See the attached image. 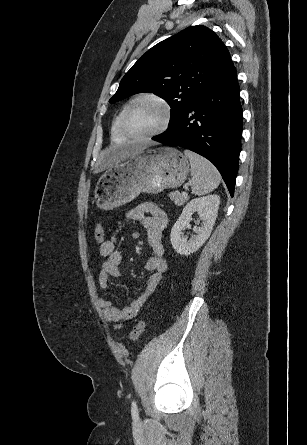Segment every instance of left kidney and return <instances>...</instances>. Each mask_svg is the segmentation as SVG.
I'll use <instances>...</instances> for the list:
<instances>
[{
  "instance_id": "obj_1",
  "label": "left kidney",
  "mask_w": 307,
  "mask_h": 445,
  "mask_svg": "<svg viewBox=\"0 0 307 445\" xmlns=\"http://www.w3.org/2000/svg\"><path fill=\"white\" fill-rule=\"evenodd\" d=\"M220 196L218 194H208V196H200V198H192L190 202H187L180 214L175 225L172 227L170 241L173 249L179 255H192L196 253L205 241L209 239L212 231V227L215 223L218 208H219ZM198 210L200 220H203L202 227H196V237L187 241L186 237H183V231L186 227H189V220L193 214Z\"/></svg>"
}]
</instances>
